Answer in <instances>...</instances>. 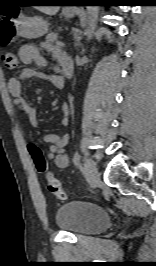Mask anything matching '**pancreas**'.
Listing matches in <instances>:
<instances>
[{
	"label": "pancreas",
	"mask_w": 156,
	"mask_h": 266,
	"mask_svg": "<svg viewBox=\"0 0 156 266\" xmlns=\"http://www.w3.org/2000/svg\"><path fill=\"white\" fill-rule=\"evenodd\" d=\"M58 34L57 33H50L46 36V41L42 43L43 46L49 49H54L55 47L53 44L57 41Z\"/></svg>",
	"instance_id": "cf45deb5"
}]
</instances>
